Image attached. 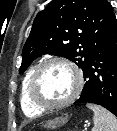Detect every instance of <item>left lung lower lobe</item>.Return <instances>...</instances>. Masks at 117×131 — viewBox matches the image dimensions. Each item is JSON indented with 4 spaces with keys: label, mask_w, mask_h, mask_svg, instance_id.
<instances>
[{
    "label": "left lung lower lobe",
    "mask_w": 117,
    "mask_h": 131,
    "mask_svg": "<svg viewBox=\"0 0 117 131\" xmlns=\"http://www.w3.org/2000/svg\"><path fill=\"white\" fill-rule=\"evenodd\" d=\"M85 85L74 103L100 105L117 116V19L112 13L101 46L83 71Z\"/></svg>",
    "instance_id": "0a47b994"
}]
</instances>
